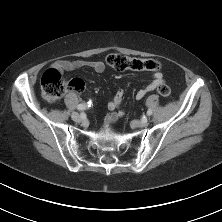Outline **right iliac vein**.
<instances>
[{
  "label": "right iliac vein",
  "mask_w": 222,
  "mask_h": 222,
  "mask_svg": "<svg viewBox=\"0 0 222 222\" xmlns=\"http://www.w3.org/2000/svg\"><path fill=\"white\" fill-rule=\"evenodd\" d=\"M72 119L76 122H79L82 120V117L79 113L77 112H73L72 115H71Z\"/></svg>",
  "instance_id": "obj_1"
}]
</instances>
